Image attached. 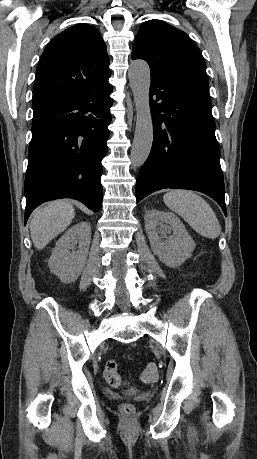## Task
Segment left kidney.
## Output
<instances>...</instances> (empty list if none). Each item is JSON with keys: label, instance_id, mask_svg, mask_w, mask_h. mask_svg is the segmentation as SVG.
<instances>
[{"label": "left kidney", "instance_id": "left-kidney-1", "mask_svg": "<svg viewBox=\"0 0 257 459\" xmlns=\"http://www.w3.org/2000/svg\"><path fill=\"white\" fill-rule=\"evenodd\" d=\"M144 220L151 248L164 264L177 267L191 256L195 242L175 214L150 210Z\"/></svg>", "mask_w": 257, "mask_h": 459}]
</instances>
